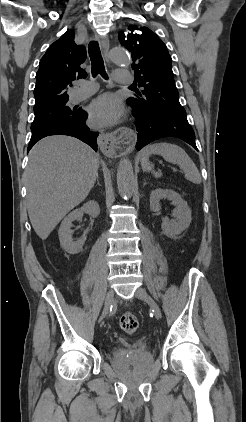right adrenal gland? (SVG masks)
<instances>
[{
    "label": "right adrenal gland",
    "mask_w": 246,
    "mask_h": 422,
    "mask_svg": "<svg viewBox=\"0 0 246 422\" xmlns=\"http://www.w3.org/2000/svg\"><path fill=\"white\" fill-rule=\"evenodd\" d=\"M97 185L100 186L99 177H97Z\"/></svg>",
    "instance_id": "obj_1"
}]
</instances>
